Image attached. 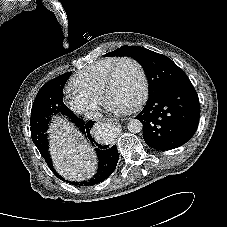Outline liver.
I'll return each instance as SVG.
<instances>
[{"instance_id": "obj_1", "label": "liver", "mask_w": 227, "mask_h": 227, "mask_svg": "<svg viewBox=\"0 0 227 227\" xmlns=\"http://www.w3.org/2000/svg\"><path fill=\"white\" fill-rule=\"evenodd\" d=\"M50 134V152L57 172L71 181L91 178L96 170L94 151L73 126L57 119Z\"/></svg>"}]
</instances>
